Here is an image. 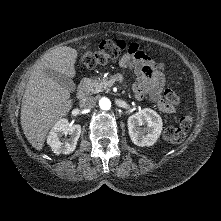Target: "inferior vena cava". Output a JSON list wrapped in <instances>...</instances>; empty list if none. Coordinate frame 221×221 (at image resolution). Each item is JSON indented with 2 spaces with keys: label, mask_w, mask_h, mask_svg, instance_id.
I'll list each match as a JSON object with an SVG mask.
<instances>
[{
  "label": "inferior vena cava",
  "mask_w": 221,
  "mask_h": 221,
  "mask_svg": "<svg viewBox=\"0 0 221 221\" xmlns=\"http://www.w3.org/2000/svg\"><path fill=\"white\" fill-rule=\"evenodd\" d=\"M97 103V99L93 96L86 97L80 101V107L82 109L93 108Z\"/></svg>",
  "instance_id": "inferior-vena-cava-1"
}]
</instances>
